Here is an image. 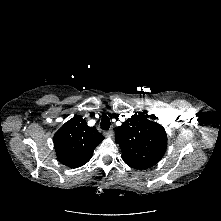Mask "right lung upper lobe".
Listing matches in <instances>:
<instances>
[{
	"mask_svg": "<svg viewBox=\"0 0 221 221\" xmlns=\"http://www.w3.org/2000/svg\"><path fill=\"white\" fill-rule=\"evenodd\" d=\"M103 139V135L95 127H89L85 119L74 117L55 133L54 147L62 164L77 168L91 159Z\"/></svg>",
	"mask_w": 221,
	"mask_h": 221,
	"instance_id": "1",
	"label": "right lung upper lobe"
}]
</instances>
